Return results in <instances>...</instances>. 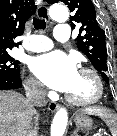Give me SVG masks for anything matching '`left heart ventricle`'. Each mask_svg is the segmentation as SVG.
Returning <instances> with one entry per match:
<instances>
[{"instance_id": "1", "label": "left heart ventricle", "mask_w": 117, "mask_h": 136, "mask_svg": "<svg viewBox=\"0 0 117 136\" xmlns=\"http://www.w3.org/2000/svg\"><path fill=\"white\" fill-rule=\"evenodd\" d=\"M95 92L96 87L92 77L86 73L78 72L67 93L75 99L85 100L91 98Z\"/></svg>"}]
</instances>
